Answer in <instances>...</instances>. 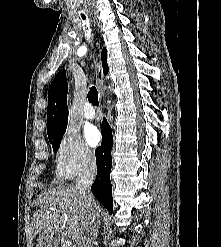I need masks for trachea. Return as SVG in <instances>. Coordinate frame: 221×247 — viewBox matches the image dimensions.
Wrapping results in <instances>:
<instances>
[{"instance_id":"trachea-1","label":"trachea","mask_w":221,"mask_h":247,"mask_svg":"<svg viewBox=\"0 0 221 247\" xmlns=\"http://www.w3.org/2000/svg\"><path fill=\"white\" fill-rule=\"evenodd\" d=\"M82 19L85 20L86 17L84 15H81ZM87 97H88V101L90 103H92V105L94 106H98L99 105V102H98V92H97V89L93 86L90 88L88 94H87Z\"/></svg>"}]
</instances>
